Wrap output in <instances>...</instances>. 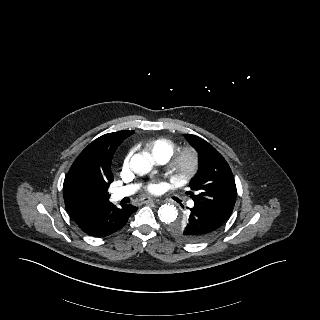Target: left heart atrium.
I'll list each match as a JSON object with an SVG mask.
<instances>
[{"mask_svg": "<svg viewBox=\"0 0 320 320\" xmlns=\"http://www.w3.org/2000/svg\"><path fill=\"white\" fill-rule=\"evenodd\" d=\"M158 189H159V186L156 185V184H151V185L148 186V191L150 193H157Z\"/></svg>", "mask_w": 320, "mask_h": 320, "instance_id": "1", "label": "left heart atrium"}]
</instances>
